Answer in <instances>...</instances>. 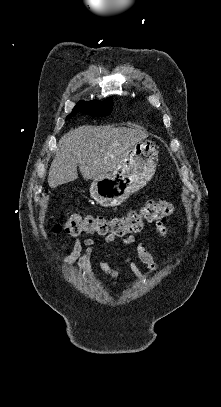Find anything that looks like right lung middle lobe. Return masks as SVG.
<instances>
[{
    "mask_svg": "<svg viewBox=\"0 0 221 407\" xmlns=\"http://www.w3.org/2000/svg\"><path fill=\"white\" fill-rule=\"evenodd\" d=\"M112 106V98H108L105 101H80L73 108L72 112L67 116V119L73 117L77 113H83L92 117L107 116L111 113Z\"/></svg>",
    "mask_w": 221,
    "mask_h": 407,
    "instance_id": "1",
    "label": "right lung middle lobe"
}]
</instances>
